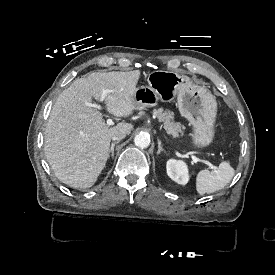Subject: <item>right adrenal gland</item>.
<instances>
[{
    "label": "right adrenal gland",
    "mask_w": 275,
    "mask_h": 275,
    "mask_svg": "<svg viewBox=\"0 0 275 275\" xmlns=\"http://www.w3.org/2000/svg\"><path fill=\"white\" fill-rule=\"evenodd\" d=\"M119 142L120 141H114V142H112L111 147L109 149L108 158L110 157V153H111V157H112V159H114V148H115V145L118 144Z\"/></svg>",
    "instance_id": "right-adrenal-gland-1"
}]
</instances>
